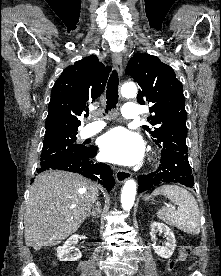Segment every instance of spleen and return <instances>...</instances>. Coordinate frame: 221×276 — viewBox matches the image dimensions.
<instances>
[{
	"mask_svg": "<svg viewBox=\"0 0 221 276\" xmlns=\"http://www.w3.org/2000/svg\"><path fill=\"white\" fill-rule=\"evenodd\" d=\"M152 195H164L179 206L177 210L163 207L156 213L159 219L188 234H199L200 212L194 196L189 191L177 185H163L156 188Z\"/></svg>",
	"mask_w": 221,
	"mask_h": 276,
	"instance_id": "spleen-1",
	"label": "spleen"
}]
</instances>
